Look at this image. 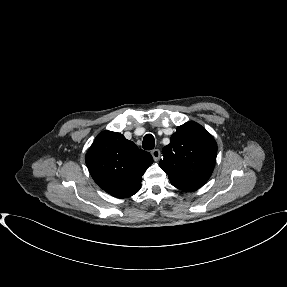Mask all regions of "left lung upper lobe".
<instances>
[{"label":"left lung upper lobe","instance_id":"5c2ea615","mask_svg":"<svg viewBox=\"0 0 287 287\" xmlns=\"http://www.w3.org/2000/svg\"><path fill=\"white\" fill-rule=\"evenodd\" d=\"M217 155L213 137L198 123L190 121L179 127L162 150L160 167L173 186L194 191L212 174Z\"/></svg>","mask_w":287,"mask_h":287}]
</instances>
